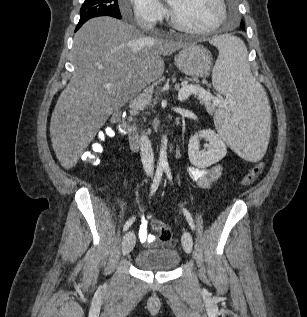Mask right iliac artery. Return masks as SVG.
I'll return each instance as SVG.
<instances>
[{"instance_id": "obj_1", "label": "right iliac artery", "mask_w": 307, "mask_h": 317, "mask_svg": "<svg viewBox=\"0 0 307 317\" xmlns=\"http://www.w3.org/2000/svg\"><path fill=\"white\" fill-rule=\"evenodd\" d=\"M162 174H163V167H160V166H159V167L157 168V170H156V173H155V176H154V180H153V183H152V185H151L150 196H152V195L156 192V190H157V188H158V186H159V183H160V181H161ZM132 222H133L132 219H130L129 221H127V222L125 223L124 227H123V231L128 230V228L130 227V225L132 224Z\"/></svg>"}]
</instances>
